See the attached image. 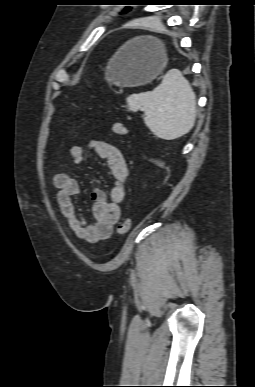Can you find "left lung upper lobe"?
I'll return each instance as SVG.
<instances>
[{"mask_svg":"<svg viewBox=\"0 0 255 387\" xmlns=\"http://www.w3.org/2000/svg\"><path fill=\"white\" fill-rule=\"evenodd\" d=\"M130 11V7H126L124 12Z\"/></svg>","mask_w":255,"mask_h":387,"instance_id":"1","label":"left lung upper lobe"}]
</instances>
